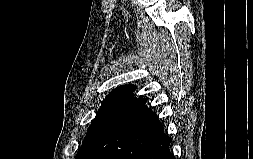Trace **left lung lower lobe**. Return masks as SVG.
<instances>
[{"label": "left lung lower lobe", "mask_w": 253, "mask_h": 159, "mask_svg": "<svg viewBox=\"0 0 253 159\" xmlns=\"http://www.w3.org/2000/svg\"><path fill=\"white\" fill-rule=\"evenodd\" d=\"M170 143L155 113L138 98L108 123L85 159H175Z\"/></svg>", "instance_id": "obj_1"}]
</instances>
